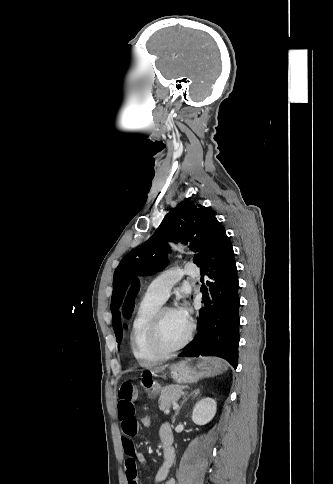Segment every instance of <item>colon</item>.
<instances>
[{"instance_id": "obj_1", "label": "colon", "mask_w": 333, "mask_h": 484, "mask_svg": "<svg viewBox=\"0 0 333 484\" xmlns=\"http://www.w3.org/2000/svg\"><path fill=\"white\" fill-rule=\"evenodd\" d=\"M152 419L148 414H143L138 418L140 429H148L151 426Z\"/></svg>"}]
</instances>
